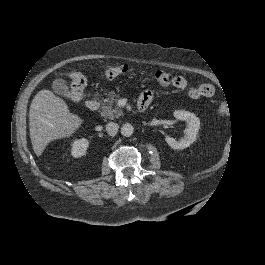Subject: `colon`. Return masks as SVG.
Masks as SVG:
<instances>
[{
  "instance_id": "obj_1",
  "label": "colon",
  "mask_w": 265,
  "mask_h": 265,
  "mask_svg": "<svg viewBox=\"0 0 265 265\" xmlns=\"http://www.w3.org/2000/svg\"><path fill=\"white\" fill-rule=\"evenodd\" d=\"M128 71L127 65H118V66H112L105 70V76L109 78L116 77L118 75H121ZM67 76L71 80V89L67 94V97L73 101H77L80 99L82 92L84 90V87L86 85V79L85 77L79 73V72H68ZM154 79L159 83L160 85H168L171 82V75L166 71H155L153 73ZM229 105L221 103L217 107V113L219 115H226L229 112Z\"/></svg>"
}]
</instances>
